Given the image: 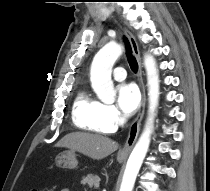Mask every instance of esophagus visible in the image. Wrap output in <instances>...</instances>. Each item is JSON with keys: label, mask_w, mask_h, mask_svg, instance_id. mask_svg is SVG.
<instances>
[{"label": "esophagus", "mask_w": 210, "mask_h": 191, "mask_svg": "<svg viewBox=\"0 0 210 191\" xmlns=\"http://www.w3.org/2000/svg\"><path fill=\"white\" fill-rule=\"evenodd\" d=\"M124 33L126 34V36L128 37L130 41L133 53L138 62V83H139V87L142 93V100H141L140 111L136 119L133 121V123L130 126L128 138L123 148L118 152L119 156H127L132 150L140 131V125L144 116L145 105H146V91H145V86L143 82L142 60L140 56L139 46H138L135 36L127 28H124Z\"/></svg>", "instance_id": "1"}]
</instances>
